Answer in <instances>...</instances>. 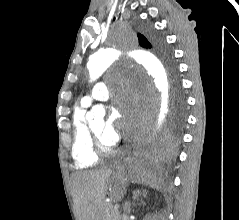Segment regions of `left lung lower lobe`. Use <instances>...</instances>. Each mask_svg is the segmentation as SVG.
I'll return each mask as SVG.
<instances>
[{"instance_id":"left-lung-lower-lobe-1","label":"left lung lower lobe","mask_w":239,"mask_h":220,"mask_svg":"<svg viewBox=\"0 0 239 220\" xmlns=\"http://www.w3.org/2000/svg\"><path fill=\"white\" fill-rule=\"evenodd\" d=\"M174 153V138L169 135L162 145L153 153L145 155L139 162V169L144 173L155 172L160 168L161 161Z\"/></svg>"}]
</instances>
